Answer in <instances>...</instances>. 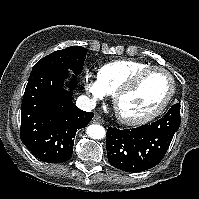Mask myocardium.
Instances as JSON below:
<instances>
[{
	"label": "myocardium",
	"mask_w": 199,
	"mask_h": 199,
	"mask_svg": "<svg viewBox=\"0 0 199 199\" xmlns=\"http://www.w3.org/2000/svg\"><path fill=\"white\" fill-rule=\"evenodd\" d=\"M151 72H162L168 77V79L170 81V89L168 91L167 96L164 98V100L161 102V104L155 110L151 111L148 114L138 116V117H130V116L123 114L119 110L120 99L124 95L130 93L137 86V84L139 83L140 79L143 76H145L146 74L151 73ZM175 89H176L175 79H174L172 73L170 71H168L167 69H165L163 67H158V66H150V67L140 69V70L136 71L135 73H133L113 93V105H114L116 115H117L118 119L126 125L137 126V125L146 124V123L152 121L153 119H155L157 116H159L165 110V108L168 106V104L170 103V101L175 93Z\"/></svg>",
	"instance_id": "myocardium-1"
}]
</instances>
